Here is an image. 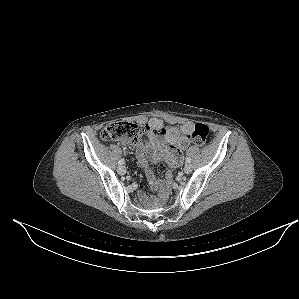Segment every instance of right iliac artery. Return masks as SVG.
I'll list each match as a JSON object with an SVG mask.
<instances>
[{
	"label": "right iliac artery",
	"mask_w": 299,
	"mask_h": 299,
	"mask_svg": "<svg viewBox=\"0 0 299 299\" xmlns=\"http://www.w3.org/2000/svg\"><path fill=\"white\" fill-rule=\"evenodd\" d=\"M124 162H125L124 159H120L119 162H118V164H119V165H122V164H124Z\"/></svg>",
	"instance_id": "82829eb1"
}]
</instances>
